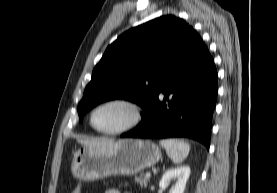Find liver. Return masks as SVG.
<instances>
[{"label":"liver","mask_w":277,"mask_h":193,"mask_svg":"<svg viewBox=\"0 0 277 193\" xmlns=\"http://www.w3.org/2000/svg\"><path fill=\"white\" fill-rule=\"evenodd\" d=\"M78 142L85 147H91V148H101L108 144H110L112 141L106 140V139H80Z\"/></svg>","instance_id":"liver-1"}]
</instances>
